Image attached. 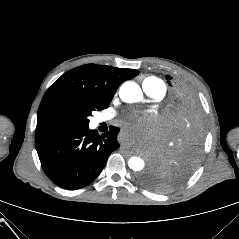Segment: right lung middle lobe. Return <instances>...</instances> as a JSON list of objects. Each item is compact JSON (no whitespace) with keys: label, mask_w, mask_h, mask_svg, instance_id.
Wrapping results in <instances>:
<instances>
[{"label":"right lung middle lobe","mask_w":239,"mask_h":239,"mask_svg":"<svg viewBox=\"0 0 239 239\" xmlns=\"http://www.w3.org/2000/svg\"><path fill=\"white\" fill-rule=\"evenodd\" d=\"M91 112L92 111L90 110L79 117L61 119L55 123V125L52 127V130L59 131L82 125H88L90 121L88 117L91 115Z\"/></svg>","instance_id":"1"}]
</instances>
